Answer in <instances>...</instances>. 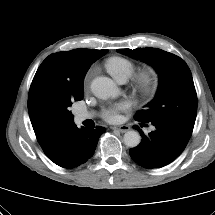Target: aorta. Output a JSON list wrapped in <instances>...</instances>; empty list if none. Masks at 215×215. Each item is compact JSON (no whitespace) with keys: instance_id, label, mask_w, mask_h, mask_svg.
<instances>
[{"instance_id":"aorta-1","label":"aorta","mask_w":215,"mask_h":215,"mask_svg":"<svg viewBox=\"0 0 215 215\" xmlns=\"http://www.w3.org/2000/svg\"><path fill=\"white\" fill-rule=\"evenodd\" d=\"M91 91L100 99L116 97L119 94L116 84L108 77L95 78L91 83ZM123 140L126 146L133 148L139 145L141 137L137 131L130 130L124 134Z\"/></svg>"}]
</instances>
